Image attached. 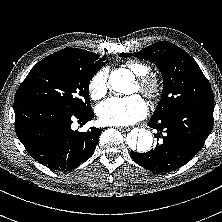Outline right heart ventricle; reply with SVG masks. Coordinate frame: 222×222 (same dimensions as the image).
Returning <instances> with one entry per match:
<instances>
[{"label":"right heart ventricle","mask_w":222,"mask_h":222,"mask_svg":"<svg viewBox=\"0 0 222 222\" xmlns=\"http://www.w3.org/2000/svg\"><path fill=\"white\" fill-rule=\"evenodd\" d=\"M126 67L138 77L145 76L150 72V67L148 65L137 60L128 61Z\"/></svg>","instance_id":"right-heart-ventricle-1"}]
</instances>
